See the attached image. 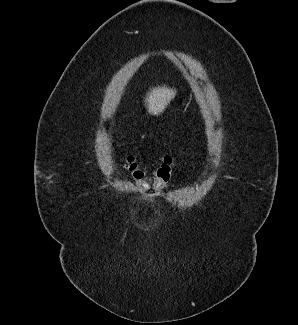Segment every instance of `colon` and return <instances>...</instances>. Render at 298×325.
Segmentation results:
<instances>
[{"instance_id": "1", "label": "colon", "mask_w": 298, "mask_h": 325, "mask_svg": "<svg viewBox=\"0 0 298 325\" xmlns=\"http://www.w3.org/2000/svg\"><path fill=\"white\" fill-rule=\"evenodd\" d=\"M125 167L140 192L145 193L152 189L160 191L163 190L170 181L173 169V157L171 155H165L162 158L155 171L153 186L150 185L145 171L140 167L134 156L127 155L125 157Z\"/></svg>"}]
</instances>
